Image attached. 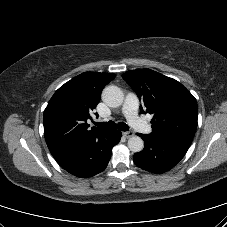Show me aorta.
Returning a JSON list of instances; mask_svg holds the SVG:
<instances>
[{
  "label": "aorta",
  "mask_w": 227,
  "mask_h": 227,
  "mask_svg": "<svg viewBox=\"0 0 227 227\" xmlns=\"http://www.w3.org/2000/svg\"><path fill=\"white\" fill-rule=\"evenodd\" d=\"M102 100L109 107H119L123 103L124 94L119 87L110 85L104 88L102 92ZM128 148L134 153L142 151L144 148L142 138L139 136L130 137L128 140Z\"/></svg>",
  "instance_id": "aorta-1"
}]
</instances>
